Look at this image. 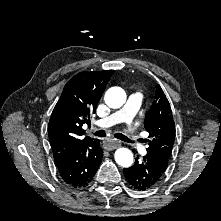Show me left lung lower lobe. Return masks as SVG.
<instances>
[{"mask_svg":"<svg viewBox=\"0 0 221 221\" xmlns=\"http://www.w3.org/2000/svg\"><path fill=\"white\" fill-rule=\"evenodd\" d=\"M166 168L167 166L146 155L142 162L136 159L132 167L124 169V176L132 188L144 191L161 180Z\"/></svg>","mask_w":221,"mask_h":221,"instance_id":"1","label":"left lung lower lobe"}]
</instances>
